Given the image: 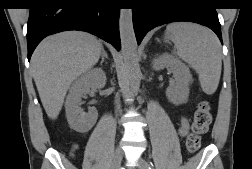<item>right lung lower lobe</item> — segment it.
Instances as JSON below:
<instances>
[{"label":"right lung lower lobe","instance_id":"right-lung-lower-lobe-1","mask_svg":"<svg viewBox=\"0 0 252 169\" xmlns=\"http://www.w3.org/2000/svg\"><path fill=\"white\" fill-rule=\"evenodd\" d=\"M118 18L116 0H38L28 20V59L44 37L65 30L92 33L120 50Z\"/></svg>","mask_w":252,"mask_h":169}]
</instances>
